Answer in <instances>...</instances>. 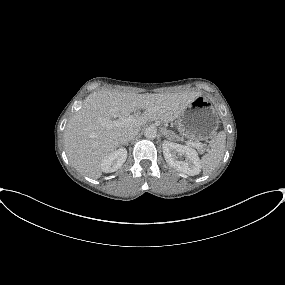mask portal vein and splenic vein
I'll list each match as a JSON object with an SVG mask.
<instances>
[{"mask_svg": "<svg viewBox=\"0 0 285 285\" xmlns=\"http://www.w3.org/2000/svg\"><path fill=\"white\" fill-rule=\"evenodd\" d=\"M135 120V118L133 116H129V117H125V118H120L114 121H107V120H103L101 122V124L103 126L106 127H113V126H121L130 122H133ZM188 144H190L193 147L198 148L199 146H201V143H197V142H193V141H188Z\"/></svg>", "mask_w": 285, "mask_h": 285, "instance_id": "1", "label": "portal vein and splenic vein"}]
</instances>
